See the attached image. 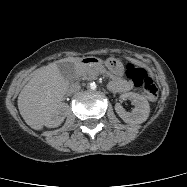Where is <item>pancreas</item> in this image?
<instances>
[{"label":"pancreas","instance_id":"1","mask_svg":"<svg viewBox=\"0 0 187 187\" xmlns=\"http://www.w3.org/2000/svg\"><path fill=\"white\" fill-rule=\"evenodd\" d=\"M99 74H106L107 76L112 78L110 72L106 71V69L102 65H85L79 68L76 72V77L79 80H95L97 79Z\"/></svg>","mask_w":187,"mask_h":187}]
</instances>
